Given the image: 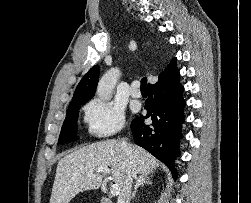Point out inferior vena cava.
<instances>
[{"mask_svg": "<svg viewBox=\"0 0 251 203\" xmlns=\"http://www.w3.org/2000/svg\"><path fill=\"white\" fill-rule=\"evenodd\" d=\"M122 149L130 156L131 149L129 148L126 141H121ZM135 174L133 172H129L122 187L121 193L119 195V203H130L131 200V186L133 182V178Z\"/></svg>", "mask_w": 251, "mask_h": 203, "instance_id": "inferior-vena-cava-1", "label": "inferior vena cava"}]
</instances>
